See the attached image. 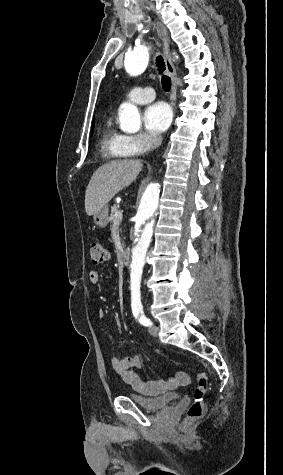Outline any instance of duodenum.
Instances as JSON below:
<instances>
[{
  "label": "duodenum",
  "mask_w": 283,
  "mask_h": 475,
  "mask_svg": "<svg viewBox=\"0 0 283 475\" xmlns=\"http://www.w3.org/2000/svg\"><path fill=\"white\" fill-rule=\"evenodd\" d=\"M131 257V250L129 248L124 249L122 252L121 258L124 264L129 263Z\"/></svg>",
  "instance_id": "1"
}]
</instances>
